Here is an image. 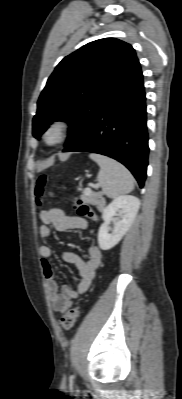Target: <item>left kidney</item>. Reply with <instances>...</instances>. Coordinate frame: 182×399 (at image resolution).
I'll return each instance as SVG.
<instances>
[{
    "label": "left kidney",
    "instance_id": "1",
    "mask_svg": "<svg viewBox=\"0 0 182 399\" xmlns=\"http://www.w3.org/2000/svg\"><path fill=\"white\" fill-rule=\"evenodd\" d=\"M140 207V200L132 195L116 197L102 212L104 223L100 226L98 243L102 250H110L119 243L132 225ZM115 219L114 229L110 233L109 224Z\"/></svg>",
    "mask_w": 182,
    "mask_h": 399
}]
</instances>
